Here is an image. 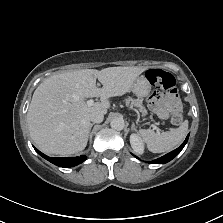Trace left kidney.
I'll list each match as a JSON object with an SVG mask.
<instances>
[{"label":"left kidney","mask_w":223,"mask_h":223,"mask_svg":"<svg viewBox=\"0 0 223 223\" xmlns=\"http://www.w3.org/2000/svg\"><path fill=\"white\" fill-rule=\"evenodd\" d=\"M130 144H131L132 149L135 152H137L139 154H143V152H144V144H143L141 138L137 134H135V133L131 134V136H130Z\"/></svg>","instance_id":"obj_1"}]
</instances>
